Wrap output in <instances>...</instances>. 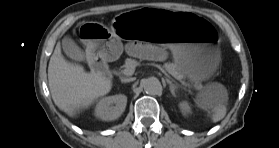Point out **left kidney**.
<instances>
[{"label": "left kidney", "instance_id": "1", "mask_svg": "<svg viewBox=\"0 0 279 148\" xmlns=\"http://www.w3.org/2000/svg\"><path fill=\"white\" fill-rule=\"evenodd\" d=\"M179 106H180L181 112L184 115L191 113V107L189 106V104L187 102H182V103H180Z\"/></svg>", "mask_w": 279, "mask_h": 148}]
</instances>
